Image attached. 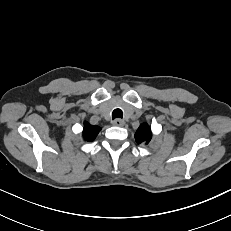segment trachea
Listing matches in <instances>:
<instances>
[{"label": "trachea", "instance_id": "3493384b", "mask_svg": "<svg viewBox=\"0 0 231 231\" xmlns=\"http://www.w3.org/2000/svg\"><path fill=\"white\" fill-rule=\"evenodd\" d=\"M123 114H122V110L121 109H115L113 112H112V118L115 119V118H122Z\"/></svg>", "mask_w": 231, "mask_h": 231}]
</instances>
